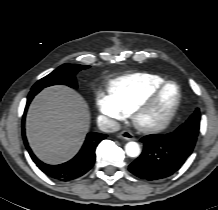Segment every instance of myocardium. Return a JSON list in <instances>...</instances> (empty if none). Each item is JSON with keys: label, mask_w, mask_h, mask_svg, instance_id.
I'll use <instances>...</instances> for the list:
<instances>
[{"label": "myocardium", "mask_w": 218, "mask_h": 210, "mask_svg": "<svg viewBox=\"0 0 218 210\" xmlns=\"http://www.w3.org/2000/svg\"><path fill=\"white\" fill-rule=\"evenodd\" d=\"M168 85H175L178 89V97L167 116L158 123L143 124L141 117L148 111L159 98L160 94ZM183 100V92L179 83L172 80H167L157 86L143 101H141L131 112V117L136 129L145 134H153L167 128L176 118Z\"/></svg>", "instance_id": "1"}]
</instances>
